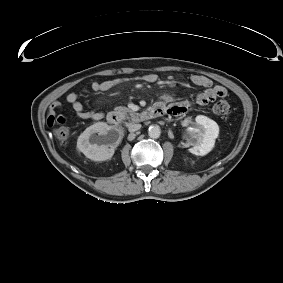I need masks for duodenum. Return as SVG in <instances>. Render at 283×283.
<instances>
[{
	"mask_svg": "<svg viewBox=\"0 0 283 283\" xmlns=\"http://www.w3.org/2000/svg\"><path fill=\"white\" fill-rule=\"evenodd\" d=\"M163 112H164V106L160 103L156 104L150 110V113L153 114V115H156V116L163 114ZM107 120H108V123L113 125V126H118L121 122L120 116L115 112L109 113Z\"/></svg>",
	"mask_w": 283,
	"mask_h": 283,
	"instance_id": "410a0bca",
	"label": "duodenum"
}]
</instances>
